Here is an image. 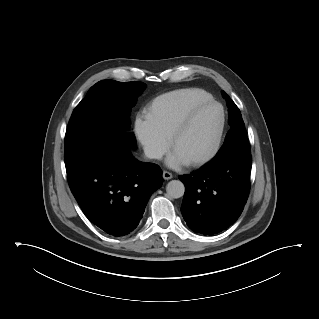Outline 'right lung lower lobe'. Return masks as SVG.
<instances>
[{"label": "right lung lower lobe", "mask_w": 319, "mask_h": 319, "mask_svg": "<svg viewBox=\"0 0 319 319\" xmlns=\"http://www.w3.org/2000/svg\"><path fill=\"white\" fill-rule=\"evenodd\" d=\"M67 177L86 217L115 237L137 227L151 194L163 183L159 166L134 159L120 137L96 144Z\"/></svg>", "instance_id": "1"}]
</instances>
